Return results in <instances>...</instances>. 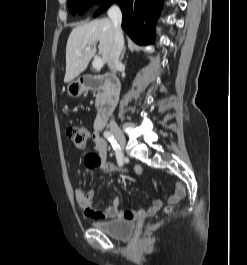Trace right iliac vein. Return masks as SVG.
I'll list each match as a JSON object with an SVG mask.
<instances>
[{
    "label": "right iliac vein",
    "instance_id": "1",
    "mask_svg": "<svg viewBox=\"0 0 247 265\" xmlns=\"http://www.w3.org/2000/svg\"><path fill=\"white\" fill-rule=\"evenodd\" d=\"M111 132L115 136L116 140L118 141L119 145L124 148L126 144V139L122 131L120 130L119 127L114 126L111 128Z\"/></svg>",
    "mask_w": 247,
    "mask_h": 265
}]
</instances>
